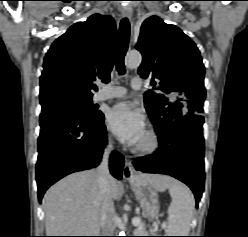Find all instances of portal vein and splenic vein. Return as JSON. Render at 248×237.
<instances>
[{
  "label": "portal vein and splenic vein",
  "mask_w": 248,
  "mask_h": 237,
  "mask_svg": "<svg viewBox=\"0 0 248 237\" xmlns=\"http://www.w3.org/2000/svg\"><path fill=\"white\" fill-rule=\"evenodd\" d=\"M132 224H133L134 226H139V225L141 224V219H140L139 217H134V218L132 219Z\"/></svg>",
  "instance_id": "1"
}]
</instances>
